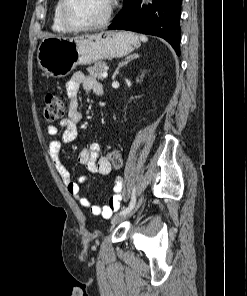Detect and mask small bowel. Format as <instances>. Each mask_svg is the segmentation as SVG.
I'll return each mask as SVG.
<instances>
[{"mask_svg":"<svg viewBox=\"0 0 247 296\" xmlns=\"http://www.w3.org/2000/svg\"><path fill=\"white\" fill-rule=\"evenodd\" d=\"M80 87L87 92H94L102 89L101 84L92 77L86 76L81 72H76L72 75L66 84V92L69 98L68 114L66 118L60 121V127L63 128L61 140L54 139L50 142L48 148L49 157L61 176L62 181L68 192L76 199L79 205L89 208L95 216L109 218L120 207L122 200V181L117 179L113 188V194L106 205L92 204L87 197L81 194L80 185L87 182L89 177L81 176L77 180H73L69 170L61 161V144L70 143L75 140L78 135V124L82 119V114L79 111L78 94ZM48 134L55 137L58 134V127L55 125L48 126ZM78 162L86 165L91 175H107L111 172L112 166L107 157L100 150L99 145L91 144L83 147L78 155Z\"/></svg>","mask_w":247,"mask_h":296,"instance_id":"c3829d8e","label":"small bowel"}]
</instances>
